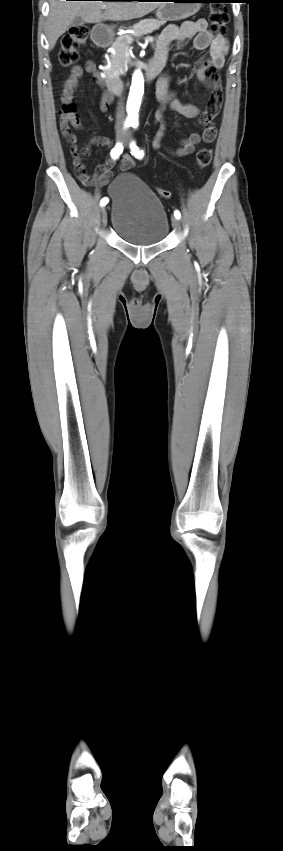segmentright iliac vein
<instances>
[{
  "label": "right iliac vein",
  "instance_id": "1",
  "mask_svg": "<svg viewBox=\"0 0 283 851\" xmlns=\"http://www.w3.org/2000/svg\"><path fill=\"white\" fill-rule=\"evenodd\" d=\"M101 215H102V223H103L104 225H106V223H107V211H106V208H105V207H103V208L101 209Z\"/></svg>",
  "mask_w": 283,
  "mask_h": 851
}]
</instances>
